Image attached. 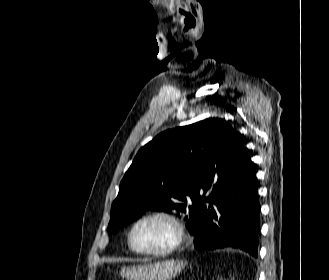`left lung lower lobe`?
Segmentation results:
<instances>
[{
  "instance_id": "0a47b994",
  "label": "left lung lower lobe",
  "mask_w": 329,
  "mask_h": 280,
  "mask_svg": "<svg viewBox=\"0 0 329 280\" xmlns=\"http://www.w3.org/2000/svg\"><path fill=\"white\" fill-rule=\"evenodd\" d=\"M256 171L247 149L239 153V167L231 182L203 201L194 246L200 250L237 248L258 256L259 233Z\"/></svg>"
}]
</instances>
